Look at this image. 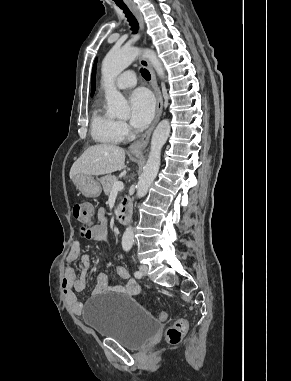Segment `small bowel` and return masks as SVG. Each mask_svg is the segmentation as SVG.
Returning <instances> with one entry per match:
<instances>
[{"label": "small bowel", "instance_id": "obj_1", "mask_svg": "<svg viewBox=\"0 0 291 381\" xmlns=\"http://www.w3.org/2000/svg\"><path fill=\"white\" fill-rule=\"evenodd\" d=\"M99 218L101 223L94 225L88 230H83L81 233V238H86L93 241L107 242V230L105 227V217L103 211H100ZM81 240L76 239L67 257V267L65 269L63 278V293L65 299L70 306L74 314H81L84 308L82 302H80L76 296V292H83L86 288V269L89 268L91 261L89 256L81 255L80 253ZM82 270L81 275L78 277L75 268L72 263L77 261ZM116 272L118 276L125 280L126 283L121 285L113 284L110 279L105 274H99L97 276V285L92 293V295H100L106 292L121 293L129 296H135L140 293V284L130 279L129 272L124 266H117Z\"/></svg>", "mask_w": 291, "mask_h": 381}]
</instances>
